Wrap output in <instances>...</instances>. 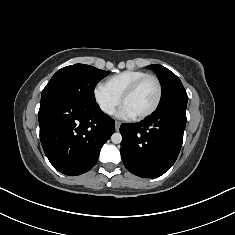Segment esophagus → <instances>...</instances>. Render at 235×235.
<instances>
[{
	"instance_id": "1",
	"label": "esophagus",
	"mask_w": 235,
	"mask_h": 235,
	"mask_svg": "<svg viewBox=\"0 0 235 235\" xmlns=\"http://www.w3.org/2000/svg\"><path fill=\"white\" fill-rule=\"evenodd\" d=\"M120 125H121V122L115 121V129H116V131H119Z\"/></svg>"
}]
</instances>
